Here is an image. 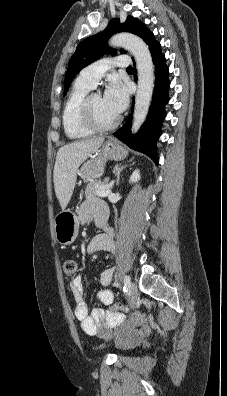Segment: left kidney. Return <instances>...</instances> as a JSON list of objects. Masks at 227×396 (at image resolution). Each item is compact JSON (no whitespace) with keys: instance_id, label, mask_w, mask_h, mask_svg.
I'll use <instances>...</instances> for the list:
<instances>
[{"instance_id":"5707ae66","label":"left kidney","mask_w":227,"mask_h":396,"mask_svg":"<svg viewBox=\"0 0 227 396\" xmlns=\"http://www.w3.org/2000/svg\"><path fill=\"white\" fill-rule=\"evenodd\" d=\"M138 180H140V172H139V170L137 169V170H135V171L133 172V174L131 175L129 182H130V183H131V182L133 183V182H137Z\"/></svg>"}]
</instances>
